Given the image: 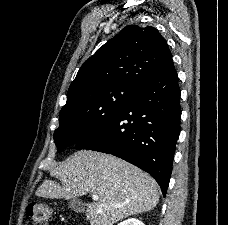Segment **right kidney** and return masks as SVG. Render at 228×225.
Instances as JSON below:
<instances>
[{
    "mask_svg": "<svg viewBox=\"0 0 228 225\" xmlns=\"http://www.w3.org/2000/svg\"><path fill=\"white\" fill-rule=\"evenodd\" d=\"M119 225H144L139 219H127V221H122Z\"/></svg>",
    "mask_w": 228,
    "mask_h": 225,
    "instance_id": "1",
    "label": "right kidney"
}]
</instances>
